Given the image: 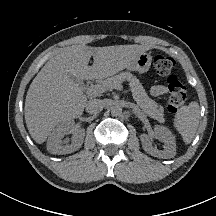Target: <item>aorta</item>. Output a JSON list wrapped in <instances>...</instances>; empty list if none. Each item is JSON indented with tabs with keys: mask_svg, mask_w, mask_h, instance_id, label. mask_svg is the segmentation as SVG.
Segmentation results:
<instances>
[{
	"mask_svg": "<svg viewBox=\"0 0 216 216\" xmlns=\"http://www.w3.org/2000/svg\"><path fill=\"white\" fill-rule=\"evenodd\" d=\"M111 114L112 116H120L122 114V108L119 105H114L111 107Z\"/></svg>",
	"mask_w": 216,
	"mask_h": 216,
	"instance_id": "obj_1",
	"label": "aorta"
}]
</instances>
